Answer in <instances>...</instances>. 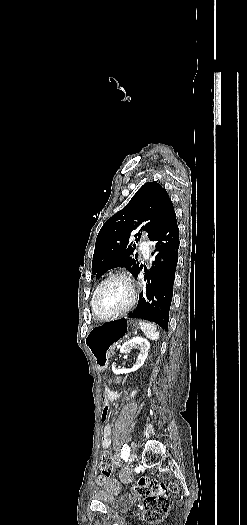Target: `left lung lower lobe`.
Masks as SVG:
<instances>
[{"label": "left lung lower lobe", "instance_id": "left-lung-lower-lobe-1", "mask_svg": "<svg viewBox=\"0 0 247 525\" xmlns=\"http://www.w3.org/2000/svg\"><path fill=\"white\" fill-rule=\"evenodd\" d=\"M149 239L156 247L155 261L149 271L144 269L145 289L139 294L138 306L135 311L129 313V317L153 321L168 330L169 309L179 248V231L175 212Z\"/></svg>", "mask_w": 247, "mask_h": 525}]
</instances>
